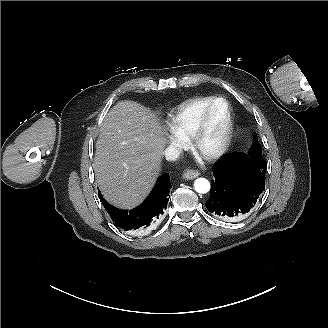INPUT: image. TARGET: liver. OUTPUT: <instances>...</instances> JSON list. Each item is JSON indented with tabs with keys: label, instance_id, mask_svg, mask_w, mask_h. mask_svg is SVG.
<instances>
[{
	"label": "liver",
	"instance_id": "1",
	"mask_svg": "<svg viewBox=\"0 0 328 328\" xmlns=\"http://www.w3.org/2000/svg\"><path fill=\"white\" fill-rule=\"evenodd\" d=\"M157 116L144 106L121 101L108 112L97 141L93 170L103 196L115 206L143 201L160 173L167 138Z\"/></svg>",
	"mask_w": 328,
	"mask_h": 328
}]
</instances>
